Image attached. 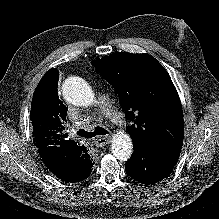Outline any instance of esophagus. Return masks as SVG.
Here are the masks:
<instances>
[{"instance_id": "1", "label": "esophagus", "mask_w": 219, "mask_h": 219, "mask_svg": "<svg viewBox=\"0 0 219 219\" xmlns=\"http://www.w3.org/2000/svg\"><path fill=\"white\" fill-rule=\"evenodd\" d=\"M110 139H111L110 136L97 137L95 139V145L97 147H103L110 142Z\"/></svg>"}]
</instances>
